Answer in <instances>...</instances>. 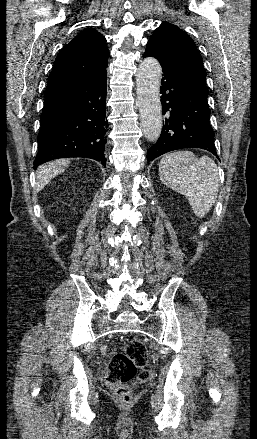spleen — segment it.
I'll use <instances>...</instances> for the list:
<instances>
[{
  "mask_svg": "<svg viewBox=\"0 0 257 439\" xmlns=\"http://www.w3.org/2000/svg\"><path fill=\"white\" fill-rule=\"evenodd\" d=\"M159 176L163 184L187 198L199 218L215 203L219 189L218 168L208 156L199 158L187 150L166 154L159 164Z\"/></svg>",
  "mask_w": 257,
  "mask_h": 439,
  "instance_id": "spleen-1",
  "label": "spleen"
}]
</instances>
